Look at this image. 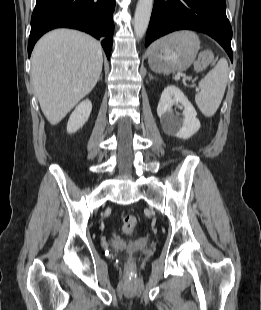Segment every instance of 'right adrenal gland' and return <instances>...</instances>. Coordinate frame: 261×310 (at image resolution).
Listing matches in <instances>:
<instances>
[{
    "label": "right adrenal gland",
    "instance_id": "right-adrenal-gland-1",
    "mask_svg": "<svg viewBox=\"0 0 261 310\" xmlns=\"http://www.w3.org/2000/svg\"><path fill=\"white\" fill-rule=\"evenodd\" d=\"M100 80H102V75H101V77H100Z\"/></svg>",
    "mask_w": 261,
    "mask_h": 310
}]
</instances>
